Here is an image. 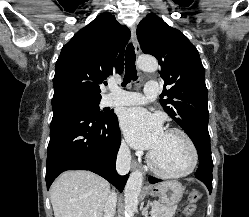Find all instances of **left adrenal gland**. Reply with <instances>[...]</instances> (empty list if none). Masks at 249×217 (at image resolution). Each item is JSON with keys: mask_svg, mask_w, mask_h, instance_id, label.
I'll return each mask as SVG.
<instances>
[{"mask_svg": "<svg viewBox=\"0 0 249 217\" xmlns=\"http://www.w3.org/2000/svg\"><path fill=\"white\" fill-rule=\"evenodd\" d=\"M148 208H149V204H147V206L142 211V214L144 215V217H149L148 216Z\"/></svg>", "mask_w": 249, "mask_h": 217, "instance_id": "left-adrenal-gland-1", "label": "left adrenal gland"}]
</instances>
